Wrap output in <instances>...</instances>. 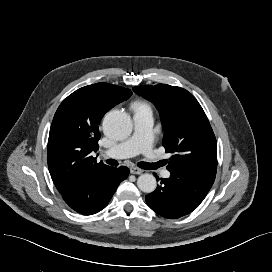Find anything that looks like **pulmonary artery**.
Here are the masks:
<instances>
[{
  "mask_svg": "<svg viewBox=\"0 0 272 272\" xmlns=\"http://www.w3.org/2000/svg\"><path fill=\"white\" fill-rule=\"evenodd\" d=\"M134 132L127 140L104 151V155L116 158L132 157L142 153L148 160L155 161L156 154L153 150V124L154 117L151 110H135L133 115ZM164 177L170 173L164 171Z\"/></svg>",
  "mask_w": 272,
  "mask_h": 272,
  "instance_id": "1",
  "label": "pulmonary artery"
}]
</instances>
